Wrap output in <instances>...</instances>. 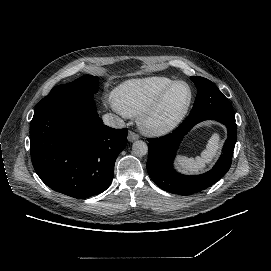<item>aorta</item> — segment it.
I'll return each instance as SVG.
<instances>
[{
	"mask_svg": "<svg viewBox=\"0 0 271 271\" xmlns=\"http://www.w3.org/2000/svg\"><path fill=\"white\" fill-rule=\"evenodd\" d=\"M132 151L137 156H144L148 152V146L144 141L137 140L132 145Z\"/></svg>",
	"mask_w": 271,
	"mask_h": 271,
	"instance_id": "762f6f07",
	"label": "aorta"
}]
</instances>
